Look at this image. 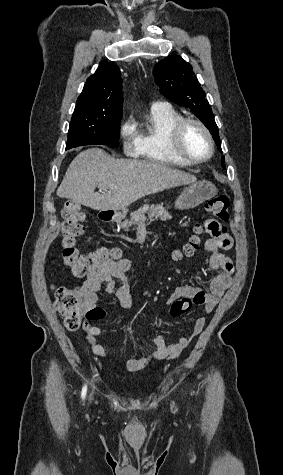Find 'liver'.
Listing matches in <instances>:
<instances>
[{
	"label": "liver",
	"instance_id": "1",
	"mask_svg": "<svg viewBox=\"0 0 283 475\" xmlns=\"http://www.w3.org/2000/svg\"><path fill=\"white\" fill-rule=\"evenodd\" d=\"M196 180L188 172H180L166 164L116 160L100 148H90L72 160L57 196L92 210H123L139 198L176 186L195 184ZM96 186L109 192L95 194Z\"/></svg>",
	"mask_w": 283,
	"mask_h": 475
}]
</instances>
